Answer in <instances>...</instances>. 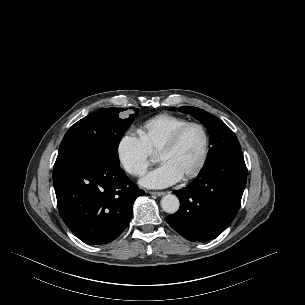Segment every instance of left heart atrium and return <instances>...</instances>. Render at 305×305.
<instances>
[{
    "label": "left heart atrium",
    "mask_w": 305,
    "mask_h": 305,
    "mask_svg": "<svg viewBox=\"0 0 305 305\" xmlns=\"http://www.w3.org/2000/svg\"><path fill=\"white\" fill-rule=\"evenodd\" d=\"M180 179V174L173 167L167 163H161L141 180V184L148 188H165L177 183Z\"/></svg>",
    "instance_id": "39dd6f15"
}]
</instances>
